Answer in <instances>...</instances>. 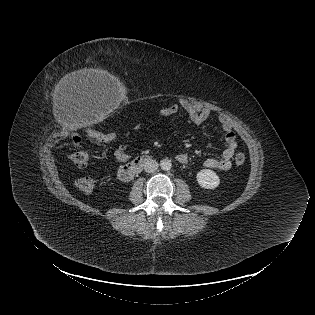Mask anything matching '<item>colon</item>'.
<instances>
[{
    "label": "colon",
    "mask_w": 315,
    "mask_h": 315,
    "mask_svg": "<svg viewBox=\"0 0 315 315\" xmlns=\"http://www.w3.org/2000/svg\"><path fill=\"white\" fill-rule=\"evenodd\" d=\"M90 136L100 142H109L113 139L111 134H104L100 132H91ZM71 161L79 166L84 167L89 162V154L83 147V141L80 134H73L71 136V151L69 154ZM245 155L242 152H238L235 155V162L237 165H242L245 162ZM96 180L91 175H85L79 177L76 180L77 188L85 194H90L94 191Z\"/></svg>",
    "instance_id": "5ec220e1"
}]
</instances>
